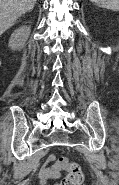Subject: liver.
<instances>
[{
  "label": "liver",
  "mask_w": 119,
  "mask_h": 185,
  "mask_svg": "<svg viewBox=\"0 0 119 185\" xmlns=\"http://www.w3.org/2000/svg\"><path fill=\"white\" fill-rule=\"evenodd\" d=\"M37 0H0V36L10 27L17 19L30 12Z\"/></svg>",
  "instance_id": "obj_1"
}]
</instances>
